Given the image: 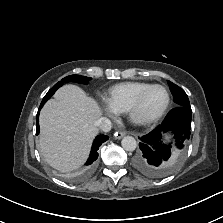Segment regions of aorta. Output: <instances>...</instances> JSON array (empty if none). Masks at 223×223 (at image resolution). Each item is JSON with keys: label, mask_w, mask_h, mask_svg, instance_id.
<instances>
[{"label": "aorta", "mask_w": 223, "mask_h": 223, "mask_svg": "<svg viewBox=\"0 0 223 223\" xmlns=\"http://www.w3.org/2000/svg\"><path fill=\"white\" fill-rule=\"evenodd\" d=\"M121 145L126 151H134L137 147L136 140L132 136H126L122 139Z\"/></svg>", "instance_id": "762f6f07"}]
</instances>
